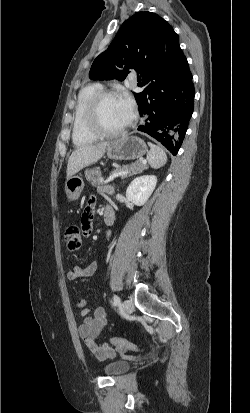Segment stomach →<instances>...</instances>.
<instances>
[{"label": "stomach", "mask_w": 250, "mask_h": 413, "mask_svg": "<svg viewBox=\"0 0 250 413\" xmlns=\"http://www.w3.org/2000/svg\"><path fill=\"white\" fill-rule=\"evenodd\" d=\"M107 156L114 160H133L142 157L147 152L145 142L136 136H125L110 142L107 146ZM84 187L80 176H72L65 182V192L69 201L79 198Z\"/></svg>", "instance_id": "obj_1"}]
</instances>
